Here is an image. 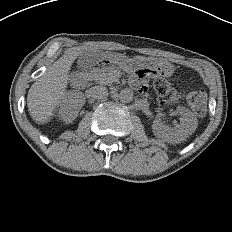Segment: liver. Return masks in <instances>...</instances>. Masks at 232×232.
<instances>
[{
  "label": "liver",
  "instance_id": "1",
  "mask_svg": "<svg viewBox=\"0 0 232 232\" xmlns=\"http://www.w3.org/2000/svg\"><path fill=\"white\" fill-rule=\"evenodd\" d=\"M76 57L75 50H68L65 57L54 62L30 87L28 108L39 124L47 123L54 116V104L66 92L68 71Z\"/></svg>",
  "mask_w": 232,
  "mask_h": 232
}]
</instances>
